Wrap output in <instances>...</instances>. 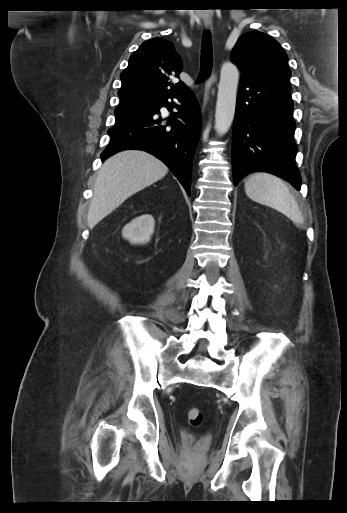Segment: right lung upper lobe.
<instances>
[{
    "mask_svg": "<svg viewBox=\"0 0 347 513\" xmlns=\"http://www.w3.org/2000/svg\"><path fill=\"white\" fill-rule=\"evenodd\" d=\"M180 71L181 61L172 43L160 38L142 43L120 75L119 107L134 109L189 90L183 82L167 88L169 77L177 76Z\"/></svg>",
    "mask_w": 347,
    "mask_h": 513,
    "instance_id": "obj_1",
    "label": "right lung upper lobe"
}]
</instances>
